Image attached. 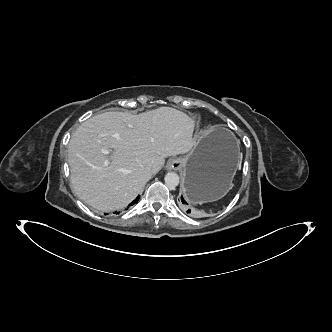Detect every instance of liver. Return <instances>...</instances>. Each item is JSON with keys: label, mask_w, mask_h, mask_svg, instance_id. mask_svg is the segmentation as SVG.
<instances>
[{"label": "liver", "mask_w": 332, "mask_h": 332, "mask_svg": "<svg viewBox=\"0 0 332 332\" xmlns=\"http://www.w3.org/2000/svg\"><path fill=\"white\" fill-rule=\"evenodd\" d=\"M194 126L192 118L171 107L91 117L68 145L73 190L101 211L126 207L164 166L165 158L186 154L197 145L201 136L193 137ZM148 164L153 165L152 172Z\"/></svg>", "instance_id": "1"}]
</instances>
